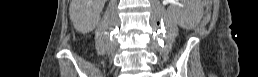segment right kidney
I'll return each mask as SVG.
<instances>
[{"instance_id":"ca27d5eb","label":"right kidney","mask_w":258,"mask_h":77,"mask_svg":"<svg viewBox=\"0 0 258 77\" xmlns=\"http://www.w3.org/2000/svg\"><path fill=\"white\" fill-rule=\"evenodd\" d=\"M88 2H92V0H88ZM101 2L103 5L105 0H101ZM101 9H102V6L95 11L94 19L90 22V24L83 26L79 23H74L75 28L82 33H88L89 31H91L95 27L96 23L98 22L99 13H100Z\"/></svg>"}]
</instances>
